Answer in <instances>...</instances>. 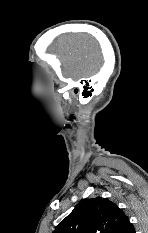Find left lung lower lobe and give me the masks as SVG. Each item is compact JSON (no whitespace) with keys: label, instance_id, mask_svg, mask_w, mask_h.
Instances as JSON below:
<instances>
[{"label":"left lung lower lobe","instance_id":"1","mask_svg":"<svg viewBox=\"0 0 148 233\" xmlns=\"http://www.w3.org/2000/svg\"><path fill=\"white\" fill-rule=\"evenodd\" d=\"M128 233H135V229H134V227H132L130 230H129V232Z\"/></svg>","mask_w":148,"mask_h":233}]
</instances>
